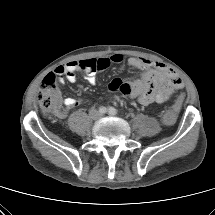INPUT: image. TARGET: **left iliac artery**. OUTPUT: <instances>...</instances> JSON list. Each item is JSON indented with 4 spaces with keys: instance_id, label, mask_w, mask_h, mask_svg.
I'll return each instance as SVG.
<instances>
[{
    "instance_id": "44dca946",
    "label": "left iliac artery",
    "mask_w": 215,
    "mask_h": 215,
    "mask_svg": "<svg viewBox=\"0 0 215 215\" xmlns=\"http://www.w3.org/2000/svg\"><path fill=\"white\" fill-rule=\"evenodd\" d=\"M108 112L110 115H116L117 114V110L114 107H110L108 109Z\"/></svg>"
}]
</instances>
